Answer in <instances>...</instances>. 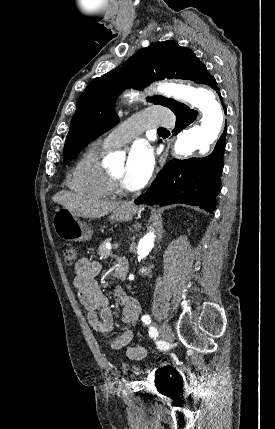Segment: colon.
<instances>
[{
	"instance_id": "5ec220e1",
	"label": "colon",
	"mask_w": 275,
	"mask_h": 429,
	"mask_svg": "<svg viewBox=\"0 0 275 429\" xmlns=\"http://www.w3.org/2000/svg\"><path fill=\"white\" fill-rule=\"evenodd\" d=\"M63 253H64L65 261L68 264H71L78 259L79 249L77 246H75L71 243H65L63 246ZM163 366L168 367L169 363L167 361H165L163 363ZM108 379L110 382H114L116 380V372L113 369L109 370Z\"/></svg>"
}]
</instances>
